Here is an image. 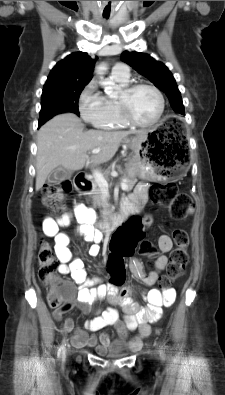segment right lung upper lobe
Masks as SVG:
<instances>
[{
	"label": "right lung upper lobe",
	"mask_w": 225,
	"mask_h": 395,
	"mask_svg": "<svg viewBox=\"0 0 225 395\" xmlns=\"http://www.w3.org/2000/svg\"><path fill=\"white\" fill-rule=\"evenodd\" d=\"M96 58L75 52L59 61L51 70L44 86L88 84L92 78Z\"/></svg>",
	"instance_id": "cb5924a9"
}]
</instances>
